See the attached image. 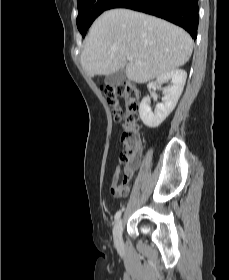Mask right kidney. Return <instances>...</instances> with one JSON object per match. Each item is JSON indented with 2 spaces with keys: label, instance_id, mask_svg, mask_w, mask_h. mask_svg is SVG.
Here are the masks:
<instances>
[{
  "label": "right kidney",
  "instance_id": "right-kidney-1",
  "mask_svg": "<svg viewBox=\"0 0 229 280\" xmlns=\"http://www.w3.org/2000/svg\"><path fill=\"white\" fill-rule=\"evenodd\" d=\"M187 78L186 71L175 69L157 78L156 82L148 84V89L156 90V86L163 82L171 81V86L164 92L162 102L157 104L156 110L153 113L149 106V97H144L139 106V114L143 123L149 128L158 127L174 110L176 104L182 94Z\"/></svg>",
  "mask_w": 229,
  "mask_h": 280
}]
</instances>
